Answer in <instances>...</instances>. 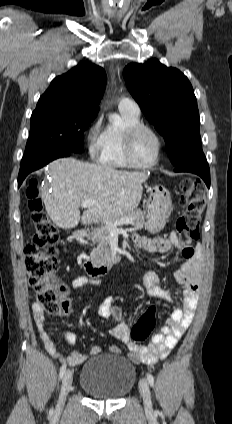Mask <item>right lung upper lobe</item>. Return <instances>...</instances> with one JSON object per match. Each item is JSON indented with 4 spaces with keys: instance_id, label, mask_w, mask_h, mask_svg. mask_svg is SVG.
Segmentation results:
<instances>
[{
    "instance_id": "cb5924a9",
    "label": "right lung upper lobe",
    "mask_w": 232,
    "mask_h": 424,
    "mask_svg": "<svg viewBox=\"0 0 232 424\" xmlns=\"http://www.w3.org/2000/svg\"><path fill=\"white\" fill-rule=\"evenodd\" d=\"M105 86V71L94 64L82 62L52 80L36 109L73 107L97 115Z\"/></svg>"
}]
</instances>
